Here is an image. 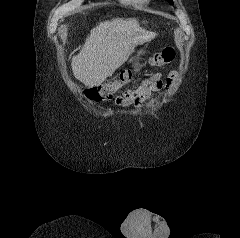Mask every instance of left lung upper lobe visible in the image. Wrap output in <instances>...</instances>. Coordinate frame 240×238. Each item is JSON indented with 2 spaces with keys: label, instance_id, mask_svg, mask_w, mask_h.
I'll return each mask as SVG.
<instances>
[{
  "label": "left lung upper lobe",
  "instance_id": "5c2ea615",
  "mask_svg": "<svg viewBox=\"0 0 240 238\" xmlns=\"http://www.w3.org/2000/svg\"><path fill=\"white\" fill-rule=\"evenodd\" d=\"M166 1L170 2L171 4H173V1H172V0H166Z\"/></svg>",
  "mask_w": 240,
  "mask_h": 238
}]
</instances>
